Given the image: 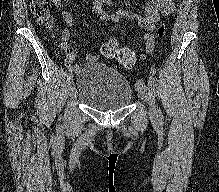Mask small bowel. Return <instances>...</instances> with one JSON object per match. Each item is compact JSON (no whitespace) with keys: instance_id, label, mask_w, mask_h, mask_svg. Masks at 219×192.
<instances>
[{"instance_id":"small-bowel-1","label":"small bowel","mask_w":219,"mask_h":192,"mask_svg":"<svg viewBox=\"0 0 219 192\" xmlns=\"http://www.w3.org/2000/svg\"><path fill=\"white\" fill-rule=\"evenodd\" d=\"M54 7L61 13V16L67 27L73 25V13L65 8V2L68 0H52ZM105 0H96L94 8L97 13L100 14L103 20L108 21H118L120 19H125L130 22H137L138 25L144 29V39L147 45L146 54L142 57L146 58L147 55L152 52L154 48L153 31L156 22L163 15H168L174 12L175 4L173 0H148V4L144 8L143 15L137 16L129 11L118 9L116 13H105L102 9V3ZM71 34L67 28H62V41L60 43L61 49L64 51L67 64L71 70H77V66H71V63L77 57V51L70 48ZM88 61H94L95 57L87 55Z\"/></svg>"}]
</instances>
